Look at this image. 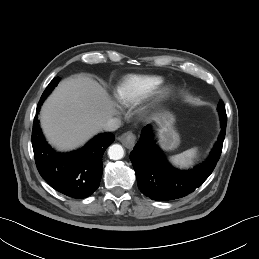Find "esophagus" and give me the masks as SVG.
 Returning <instances> with one entry per match:
<instances>
[{"label": "esophagus", "mask_w": 259, "mask_h": 259, "mask_svg": "<svg viewBox=\"0 0 259 259\" xmlns=\"http://www.w3.org/2000/svg\"><path fill=\"white\" fill-rule=\"evenodd\" d=\"M119 141L128 149H131L136 143V135L133 132L128 131L119 136Z\"/></svg>", "instance_id": "34e87169"}]
</instances>
